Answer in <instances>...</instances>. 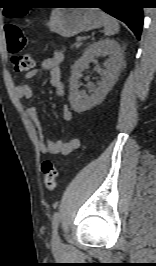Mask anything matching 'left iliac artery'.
<instances>
[{
	"mask_svg": "<svg viewBox=\"0 0 156 266\" xmlns=\"http://www.w3.org/2000/svg\"><path fill=\"white\" fill-rule=\"evenodd\" d=\"M59 221H60V214H59V212H56L53 216V221H52V227H53L54 232H56V230H57V227L59 225Z\"/></svg>",
	"mask_w": 156,
	"mask_h": 266,
	"instance_id": "obj_1",
	"label": "left iliac artery"
}]
</instances>
